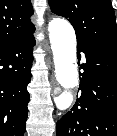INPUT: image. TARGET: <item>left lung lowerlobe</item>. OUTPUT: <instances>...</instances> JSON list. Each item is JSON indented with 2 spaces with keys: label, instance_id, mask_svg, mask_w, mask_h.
I'll use <instances>...</instances> for the list:
<instances>
[{
  "label": "left lung lower lobe",
  "instance_id": "obj_1",
  "mask_svg": "<svg viewBox=\"0 0 117 136\" xmlns=\"http://www.w3.org/2000/svg\"><path fill=\"white\" fill-rule=\"evenodd\" d=\"M80 94L56 124L57 136H117V51L77 41Z\"/></svg>",
  "mask_w": 117,
  "mask_h": 136
}]
</instances>
